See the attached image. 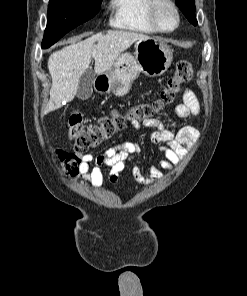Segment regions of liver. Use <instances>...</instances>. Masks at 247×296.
I'll use <instances>...</instances> for the list:
<instances>
[{"instance_id": "6515ba94", "label": "liver", "mask_w": 247, "mask_h": 296, "mask_svg": "<svg viewBox=\"0 0 247 296\" xmlns=\"http://www.w3.org/2000/svg\"><path fill=\"white\" fill-rule=\"evenodd\" d=\"M149 38L141 33L109 30L106 34L97 33L53 52L48 59L52 78L50 100L44 113L57 110L74 99L79 80L88 69L91 58L95 60V73L102 74L133 43Z\"/></svg>"}]
</instances>
